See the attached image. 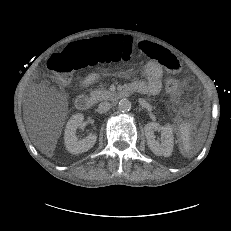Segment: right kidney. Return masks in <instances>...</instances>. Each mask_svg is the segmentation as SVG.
I'll return each mask as SVG.
<instances>
[{"label":"right kidney","instance_id":"ca27d5eb","mask_svg":"<svg viewBox=\"0 0 231 231\" xmlns=\"http://www.w3.org/2000/svg\"><path fill=\"white\" fill-rule=\"evenodd\" d=\"M84 116L81 113L74 114L67 122L64 143L68 152L72 154H80L90 150L96 143L97 136L95 133H90L82 140H78L75 135L77 128L82 124Z\"/></svg>","mask_w":231,"mask_h":231}]
</instances>
